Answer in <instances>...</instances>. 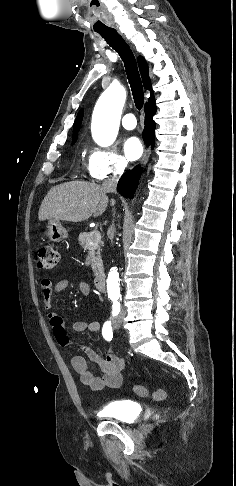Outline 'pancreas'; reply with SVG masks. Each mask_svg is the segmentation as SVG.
Here are the masks:
<instances>
[{
    "label": "pancreas",
    "instance_id": "obj_1",
    "mask_svg": "<svg viewBox=\"0 0 236 486\" xmlns=\"http://www.w3.org/2000/svg\"><path fill=\"white\" fill-rule=\"evenodd\" d=\"M79 244L84 250H88L91 258V267L95 276H98L103 271L102 259L100 256L101 247L103 243L101 240L97 241L92 232L90 233H80ZM92 242V243H90Z\"/></svg>",
    "mask_w": 236,
    "mask_h": 486
}]
</instances>
